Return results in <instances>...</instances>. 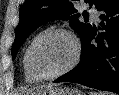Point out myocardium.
Instances as JSON below:
<instances>
[{
	"label": "myocardium",
	"instance_id": "f54148a6",
	"mask_svg": "<svg viewBox=\"0 0 119 95\" xmlns=\"http://www.w3.org/2000/svg\"><path fill=\"white\" fill-rule=\"evenodd\" d=\"M57 34L66 35L72 40L74 44V56L72 60L70 61V63L66 67H64L62 70L53 74H44L37 68L35 64L34 53L37 46L42 40ZM80 57H81V44L77 36L70 30H67L65 28H53V29L45 30L34 39L28 51V65L32 73L38 78H40L41 80H53L65 75L66 73L74 69L79 63Z\"/></svg>",
	"mask_w": 119,
	"mask_h": 95
}]
</instances>
